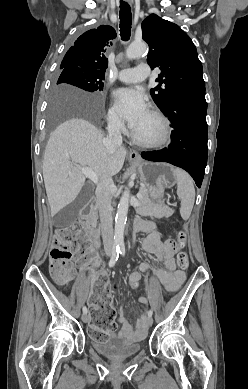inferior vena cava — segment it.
Wrapping results in <instances>:
<instances>
[{
  "label": "inferior vena cava",
  "mask_w": 248,
  "mask_h": 389,
  "mask_svg": "<svg viewBox=\"0 0 248 389\" xmlns=\"http://www.w3.org/2000/svg\"><path fill=\"white\" fill-rule=\"evenodd\" d=\"M108 136L105 138L104 143L107 150L113 153L117 148L122 145L121 135V122L118 118H112L109 121ZM114 182L110 175H103L100 178V182L97 185L95 194L97 198V205L100 213L101 221V232L104 250L106 252L114 251V240H113V218L111 199L114 191Z\"/></svg>",
  "instance_id": "1"
}]
</instances>
